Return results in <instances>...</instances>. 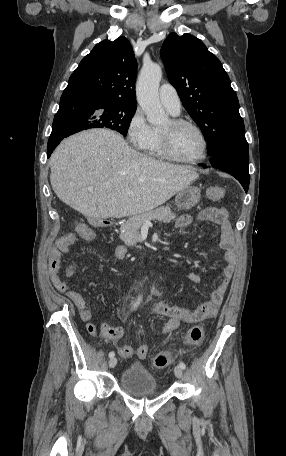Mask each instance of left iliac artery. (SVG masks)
Wrapping results in <instances>:
<instances>
[{"mask_svg":"<svg viewBox=\"0 0 286 456\" xmlns=\"http://www.w3.org/2000/svg\"><path fill=\"white\" fill-rule=\"evenodd\" d=\"M179 367L182 368V369H185L186 368V365L184 362H180L179 363Z\"/></svg>","mask_w":286,"mask_h":456,"instance_id":"left-iliac-artery-1","label":"left iliac artery"}]
</instances>
